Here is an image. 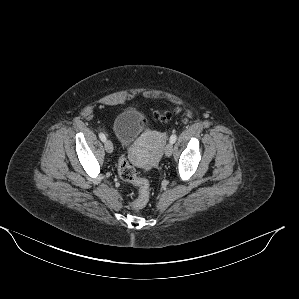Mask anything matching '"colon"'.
I'll return each instance as SVG.
<instances>
[{"label": "colon", "mask_w": 299, "mask_h": 299, "mask_svg": "<svg viewBox=\"0 0 299 299\" xmlns=\"http://www.w3.org/2000/svg\"><path fill=\"white\" fill-rule=\"evenodd\" d=\"M156 118L161 122H166L170 118V114L159 112L156 114ZM119 175L122 180L130 182L138 188V196L131 202V208L135 210L143 208L147 204L150 194L148 181L137 176L135 168L125 157L119 159Z\"/></svg>", "instance_id": "5ec220e1"}]
</instances>
